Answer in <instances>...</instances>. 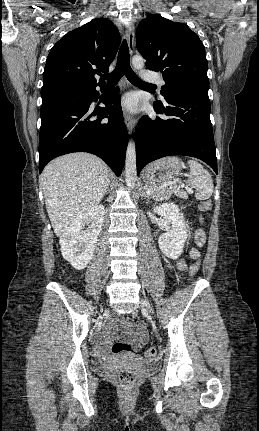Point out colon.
<instances>
[{"label": "colon", "instance_id": "obj_1", "mask_svg": "<svg viewBox=\"0 0 259 431\" xmlns=\"http://www.w3.org/2000/svg\"><path fill=\"white\" fill-rule=\"evenodd\" d=\"M212 208V202L210 200H204L200 203V206L198 208V211L201 212H208ZM199 271V261L198 258L194 259L190 269L189 273L191 277H194ZM131 347L127 343L123 342H116L112 346V352L114 354H120L130 351ZM144 355L147 359H153L156 356V350L153 347H149L145 350ZM117 379L119 383L124 386L125 388L132 387L136 381H137V373L131 370H119L116 373Z\"/></svg>", "mask_w": 259, "mask_h": 431}]
</instances>
